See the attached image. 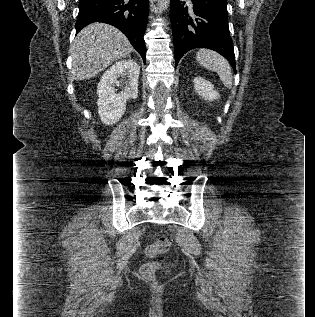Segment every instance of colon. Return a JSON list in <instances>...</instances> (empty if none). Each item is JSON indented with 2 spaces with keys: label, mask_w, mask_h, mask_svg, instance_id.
Here are the masks:
<instances>
[{
  "label": "colon",
  "mask_w": 315,
  "mask_h": 317,
  "mask_svg": "<svg viewBox=\"0 0 315 317\" xmlns=\"http://www.w3.org/2000/svg\"><path fill=\"white\" fill-rule=\"evenodd\" d=\"M169 248L170 241L165 237L157 239L153 244L148 246L147 254L151 257H156V259L142 266L141 274L144 278L148 280L155 279L157 272L163 264L164 254L168 252Z\"/></svg>",
  "instance_id": "obj_1"
}]
</instances>
